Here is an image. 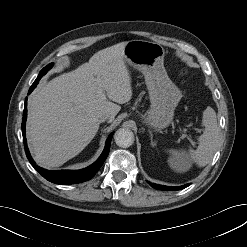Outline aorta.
Returning a JSON list of instances; mask_svg holds the SVG:
<instances>
[{
    "instance_id": "aorta-1",
    "label": "aorta",
    "mask_w": 247,
    "mask_h": 247,
    "mask_svg": "<svg viewBox=\"0 0 247 247\" xmlns=\"http://www.w3.org/2000/svg\"><path fill=\"white\" fill-rule=\"evenodd\" d=\"M114 139L119 147H130L134 143V134L130 129L120 128L115 132Z\"/></svg>"
}]
</instances>
